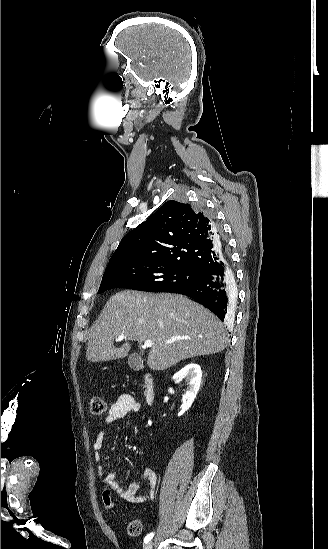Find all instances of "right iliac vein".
I'll use <instances>...</instances> for the list:
<instances>
[{
  "instance_id": "63e3f726",
  "label": "right iliac vein",
  "mask_w": 328,
  "mask_h": 549,
  "mask_svg": "<svg viewBox=\"0 0 328 549\" xmlns=\"http://www.w3.org/2000/svg\"><path fill=\"white\" fill-rule=\"evenodd\" d=\"M152 547H153V542L152 541H149L144 545V549H152Z\"/></svg>"
}]
</instances>
